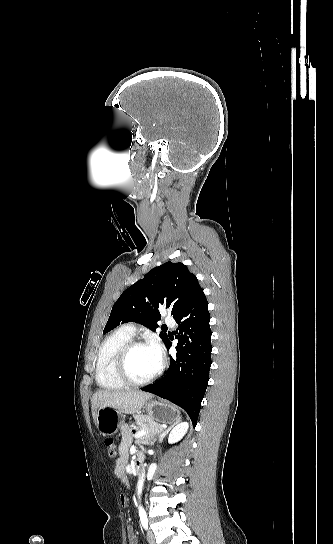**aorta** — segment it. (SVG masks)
Here are the masks:
<instances>
[{
    "label": "aorta",
    "mask_w": 333,
    "mask_h": 544,
    "mask_svg": "<svg viewBox=\"0 0 333 544\" xmlns=\"http://www.w3.org/2000/svg\"><path fill=\"white\" fill-rule=\"evenodd\" d=\"M144 478H145V472L142 473V475L140 476L139 481H138L137 494H138L139 498H140V495L142 493Z\"/></svg>",
    "instance_id": "obj_1"
}]
</instances>
